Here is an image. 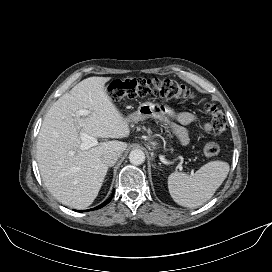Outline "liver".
<instances>
[{
	"label": "liver",
	"instance_id": "liver-1",
	"mask_svg": "<svg viewBox=\"0 0 272 272\" xmlns=\"http://www.w3.org/2000/svg\"><path fill=\"white\" fill-rule=\"evenodd\" d=\"M110 79L89 77L62 95L48 110L38 135L37 161L43 182L60 203L71 208L84 209L97 197L108 171L102 155L107 151L120 155L127 148V143L116 140L80 148L81 134L94 138L130 135L127 119L106 92ZM78 110L89 113L76 116Z\"/></svg>",
	"mask_w": 272,
	"mask_h": 272
}]
</instances>
